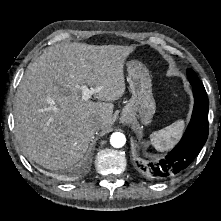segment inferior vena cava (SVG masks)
<instances>
[{
  "instance_id": "obj_1",
  "label": "inferior vena cava",
  "mask_w": 221,
  "mask_h": 221,
  "mask_svg": "<svg viewBox=\"0 0 221 221\" xmlns=\"http://www.w3.org/2000/svg\"><path fill=\"white\" fill-rule=\"evenodd\" d=\"M101 124H102V119L101 118H95V119H92L90 122H89V127L92 131H97L100 129L101 127Z\"/></svg>"
}]
</instances>
